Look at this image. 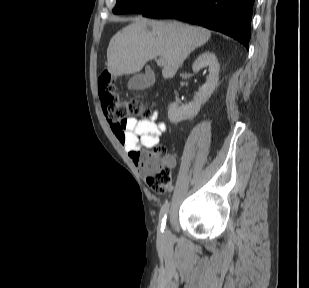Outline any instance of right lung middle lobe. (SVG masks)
<instances>
[{"label": "right lung middle lobe", "instance_id": "1", "mask_svg": "<svg viewBox=\"0 0 309 288\" xmlns=\"http://www.w3.org/2000/svg\"><path fill=\"white\" fill-rule=\"evenodd\" d=\"M163 1L164 0H117L113 13L124 14L133 12L142 14Z\"/></svg>", "mask_w": 309, "mask_h": 288}]
</instances>
